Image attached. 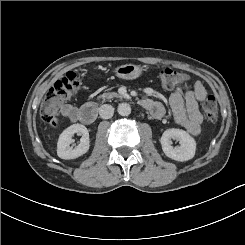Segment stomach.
<instances>
[{
    "mask_svg": "<svg viewBox=\"0 0 245 245\" xmlns=\"http://www.w3.org/2000/svg\"><path fill=\"white\" fill-rule=\"evenodd\" d=\"M145 67L141 64L126 63L115 68V75L124 80H135L143 75Z\"/></svg>",
    "mask_w": 245,
    "mask_h": 245,
    "instance_id": "obj_1",
    "label": "stomach"
}]
</instances>
